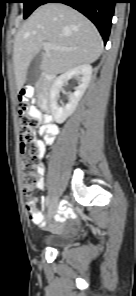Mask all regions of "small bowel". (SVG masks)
I'll return each mask as SVG.
<instances>
[{"instance_id": "small-bowel-1", "label": "small bowel", "mask_w": 136, "mask_h": 296, "mask_svg": "<svg viewBox=\"0 0 136 296\" xmlns=\"http://www.w3.org/2000/svg\"><path fill=\"white\" fill-rule=\"evenodd\" d=\"M30 89L31 88L26 87V90H30ZM33 115L43 123L39 129V134L41 136V139L36 140V143L39 149L38 157L42 158L46 151V145L52 144L56 135L58 134V128L53 123H51L50 119L40 111L34 109ZM37 170L39 174V179L36 183V187L41 190L44 188V185H45L44 178H43L44 171H45L44 164L40 163L37 167ZM34 212L38 216V219L33 220V223L36 226H42L44 224L43 215L37 209H34ZM72 214L73 213L70 210H66L63 213L58 214L56 216V220L58 223H62L65 221L67 217H71ZM57 231L59 233H63L66 230L62 227H57Z\"/></svg>"}]
</instances>
